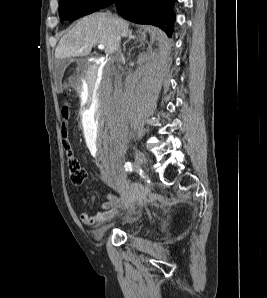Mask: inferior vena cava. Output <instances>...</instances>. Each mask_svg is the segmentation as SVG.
I'll return each instance as SVG.
<instances>
[{
	"label": "inferior vena cava",
	"instance_id": "602c4592",
	"mask_svg": "<svg viewBox=\"0 0 267 298\" xmlns=\"http://www.w3.org/2000/svg\"><path fill=\"white\" fill-rule=\"evenodd\" d=\"M116 54H117V56H121V51H120V49H117Z\"/></svg>",
	"mask_w": 267,
	"mask_h": 298
}]
</instances>
